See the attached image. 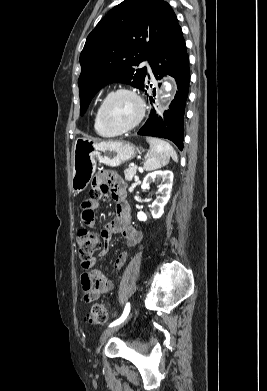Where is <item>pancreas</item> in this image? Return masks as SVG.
I'll return each instance as SVG.
<instances>
[{
    "mask_svg": "<svg viewBox=\"0 0 267 391\" xmlns=\"http://www.w3.org/2000/svg\"><path fill=\"white\" fill-rule=\"evenodd\" d=\"M136 172H137V167L136 166H131V167L127 168L124 171L125 180L128 181V182L132 181V179L136 176Z\"/></svg>",
    "mask_w": 267,
    "mask_h": 391,
    "instance_id": "pancreas-1",
    "label": "pancreas"
}]
</instances>
